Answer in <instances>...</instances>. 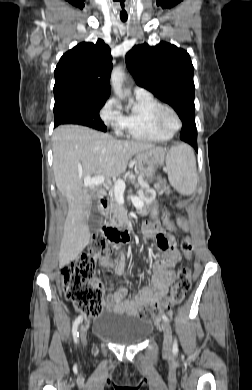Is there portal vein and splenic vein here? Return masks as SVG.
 <instances>
[{"label": "portal vein and splenic vein", "mask_w": 252, "mask_h": 390, "mask_svg": "<svg viewBox=\"0 0 252 390\" xmlns=\"http://www.w3.org/2000/svg\"><path fill=\"white\" fill-rule=\"evenodd\" d=\"M104 180H105V177L100 175V174H98L94 177L87 176L84 179V188L98 186V185L102 184L104 182ZM108 183L110 184L109 181H108ZM124 191H125V182L123 180H117L114 184L115 195L117 197H119V199H123ZM128 199H130L132 201V203L134 204V206L136 208H142L144 205L143 201H141L140 198L137 196L130 195V196H128Z\"/></svg>", "instance_id": "portal-vein-and-splenic-vein-1"}]
</instances>
